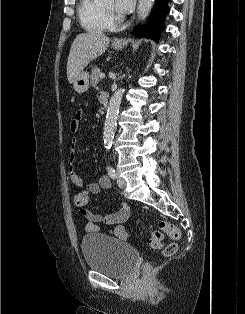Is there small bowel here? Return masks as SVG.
<instances>
[{
  "label": "small bowel",
  "mask_w": 245,
  "mask_h": 314,
  "mask_svg": "<svg viewBox=\"0 0 245 314\" xmlns=\"http://www.w3.org/2000/svg\"><path fill=\"white\" fill-rule=\"evenodd\" d=\"M81 119L82 112H75L74 117L70 122V131L72 133L77 132ZM76 146L77 139L74 137L72 139V150L70 152L68 163L71 184L76 187H84V190L87 191L89 194H98L101 189L110 190L112 188V182L107 176L99 177L98 182H92L87 184L84 182L76 169ZM81 213L88 221V223L85 225L86 232H99L101 228L99 227L98 223L103 222L108 226H113V228L107 231V233L113 238L121 241H126L129 239L130 234L123 226V223L126 222L130 215V208L125 202L121 204V207L116 212L108 214L104 217L95 214L89 210H83L81 211Z\"/></svg>",
  "instance_id": "small-bowel-1"
}]
</instances>
